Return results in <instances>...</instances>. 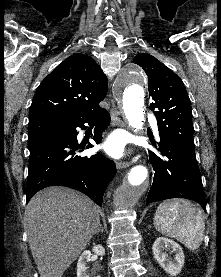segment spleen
<instances>
[{"label": "spleen", "mask_w": 221, "mask_h": 277, "mask_svg": "<svg viewBox=\"0 0 221 277\" xmlns=\"http://www.w3.org/2000/svg\"><path fill=\"white\" fill-rule=\"evenodd\" d=\"M154 226L161 234L177 239L192 251L203 241L205 222L202 211L185 199L162 202L154 215Z\"/></svg>", "instance_id": "3e777b00"}]
</instances>
